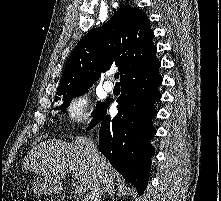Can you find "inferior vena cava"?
I'll use <instances>...</instances> for the list:
<instances>
[{"label":"inferior vena cava","instance_id":"1","mask_svg":"<svg viewBox=\"0 0 221 201\" xmlns=\"http://www.w3.org/2000/svg\"><path fill=\"white\" fill-rule=\"evenodd\" d=\"M90 149L93 156V162L94 164H96L95 160L97 157V148L94 145L93 141H90ZM100 186H101L100 173L99 171H96V173H94L93 182L91 184L90 193L88 195V201H98Z\"/></svg>","mask_w":221,"mask_h":201}]
</instances>
